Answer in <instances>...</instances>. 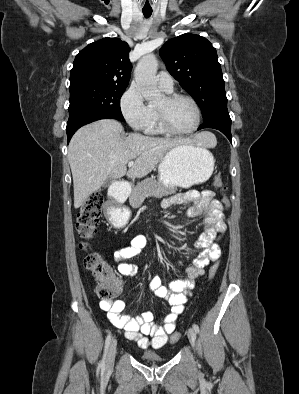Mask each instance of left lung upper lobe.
<instances>
[{
    "mask_svg": "<svg viewBox=\"0 0 299 394\" xmlns=\"http://www.w3.org/2000/svg\"><path fill=\"white\" fill-rule=\"evenodd\" d=\"M159 53L169 73L195 99L204 120L228 113L217 52L206 38L183 34L168 40Z\"/></svg>",
    "mask_w": 299,
    "mask_h": 394,
    "instance_id": "obj_1",
    "label": "left lung upper lobe"
}]
</instances>
